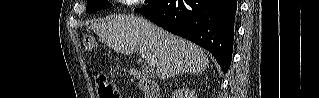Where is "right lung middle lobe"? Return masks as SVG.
<instances>
[{
    "label": "right lung middle lobe",
    "instance_id": "1",
    "mask_svg": "<svg viewBox=\"0 0 319 98\" xmlns=\"http://www.w3.org/2000/svg\"><path fill=\"white\" fill-rule=\"evenodd\" d=\"M149 1L150 0H146L145 2L148 3ZM111 6L112 4H110L108 0H87L86 12L92 13L98 10L109 8Z\"/></svg>",
    "mask_w": 319,
    "mask_h": 98
}]
</instances>
